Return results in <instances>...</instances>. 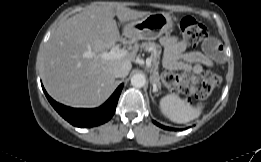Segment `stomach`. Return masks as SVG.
<instances>
[{
    "label": "stomach",
    "mask_w": 261,
    "mask_h": 162,
    "mask_svg": "<svg viewBox=\"0 0 261 162\" xmlns=\"http://www.w3.org/2000/svg\"><path fill=\"white\" fill-rule=\"evenodd\" d=\"M172 17L163 12L151 13L144 18L131 22L128 28L137 32L136 39L138 40H155L167 34L173 29Z\"/></svg>",
    "instance_id": "1"
}]
</instances>
